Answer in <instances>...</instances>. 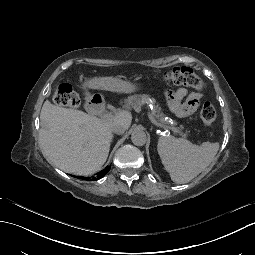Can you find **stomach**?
<instances>
[{
  "label": "stomach",
  "mask_w": 255,
  "mask_h": 255,
  "mask_svg": "<svg viewBox=\"0 0 255 255\" xmlns=\"http://www.w3.org/2000/svg\"><path fill=\"white\" fill-rule=\"evenodd\" d=\"M108 89L111 92H118L119 90H121L126 93H131L134 92L137 89V87L136 85L130 82H123L119 81L118 79H111L108 82Z\"/></svg>",
  "instance_id": "stomach-1"
}]
</instances>
